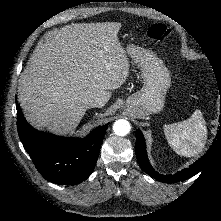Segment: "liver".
Instances as JSON below:
<instances>
[{
	"mask_svg": "<svg viewBox=\"0 0 221 221\" xmlns=\"http://www.w3.org/2000/svg\"><path fill=\"white\" fill-rule=\"evenodd\" d=\"M119 22L76 23L36 47L19 79L18 101L36 128L72 133L89 100L104 105L129 76Z\"/></svg>",
	"mask_w": 221,
	"mask_h": 221,
	"instance_id": "1",
	"label": "liver"
}]
</instances>
